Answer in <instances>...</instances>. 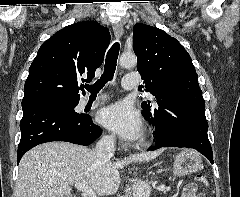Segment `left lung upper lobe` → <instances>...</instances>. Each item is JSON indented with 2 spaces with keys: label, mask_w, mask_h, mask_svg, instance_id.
<instances>
[{
  "label": "left lung upper lobe",
  "mask_w": 240,
  "mask_h": 197,
  "mask_svg": "<svg viewBox=\"0 0 240 197\" xmlns=\"http://www.w3.org/2000/svg\"><path fill=\"white\" fill-rule=\"evenodd\" d=\"M133 48L146 91L156 101V105L150 101L142 103L145 117L167 107L174 108L184 97L203 99L191 57L175 38L156 27L136 24Z\"/></svg>",
  "instance_id": "obj_1"
}]
</instances>
